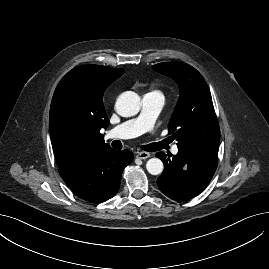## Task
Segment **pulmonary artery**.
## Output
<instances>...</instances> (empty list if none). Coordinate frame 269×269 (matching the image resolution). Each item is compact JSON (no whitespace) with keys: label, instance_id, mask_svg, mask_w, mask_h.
Listing matches in <instances>:
<instances>
[{"label":"pulmonary artery","instance_id":"pulmonary-artery-1","mask_svg":"<svg viewBox=\"0 0 269 269\" xmlns=\"http://www.w3.org/2000/svg\"><path fill=\"white\" fill-rule=\"evenodd\" d=\"M164 105V96L158 91L145 94L142 98V107L140 114L130 120H127L113 128L109 133L110 138L127 139L137 137L149 131L156 120L159 112ZM172 153L177 154L178 148L174 146Z\"/></svg>","mask_w":269,"mask_h":269}]
</instances>
